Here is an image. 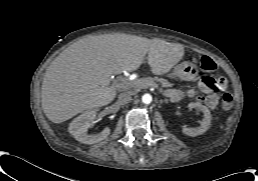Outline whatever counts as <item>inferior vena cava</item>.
I'll list each match as a JSON object with an SVG mask.
<instances>
[{"label": "inferior vena cava", "mask_w": 258, "mask_h": 181, "mask_svg": "<svg viewBox=\"0 0 258 181\" xmlns=\"http://www.w3.org/2000/svg\"><path fill=\"white\" fill-rule=\"evenodd\" d=\"M131 100H132L131 94L125 92V93H121V94L118 96L117 102H118L120 105H125V104L130 103Z\"/></svg>", "instance_id": "inferior-vena-cava-1"}]
</instances>
